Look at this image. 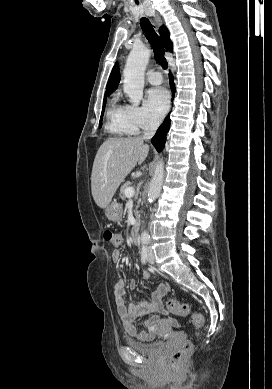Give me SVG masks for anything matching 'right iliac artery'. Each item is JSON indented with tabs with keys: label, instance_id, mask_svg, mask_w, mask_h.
I'll use <instances>...</instances> for the list:
<instances>
[{
	"label": "right iliac artery",
	"instance_id": "obj_1",
	"mask_svg": "<svg viewBox=\"0 0 272 389\" xmlns=\"http://www.w3.org/2000/svg\"><path fill=\"white\" fill-rule=\"evenodd\" d=\"M141 261L143 264H146L147 262V246L145 245V243L142 246Z\"/></svg>",
	"mask_w": 272,
	"mask_h": 389
}]
</instances>
